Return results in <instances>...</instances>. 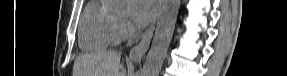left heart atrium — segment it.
<instances>
[{"label":"left heart atrium","instance_id":"1","mask_svg":"<svg viewBox=\"0 0 287 76\" xmlns=\"http://www.w3.org/2000/svg\"><path fill=\"white\" fill-rule=\"evenodd\" d=\"M132 17L136 25L145 26L155 16L157 4L154 0H132Z\"/></svg>","mask_w":287,"mask_h":76}]
</instances>
